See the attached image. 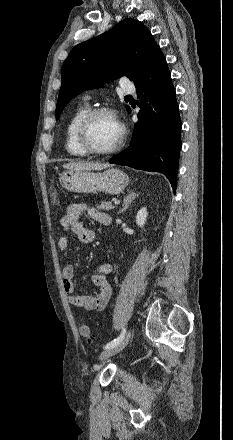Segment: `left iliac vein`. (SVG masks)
Returning <instances> with one entry per match:
<instances>
[{
    "label": "left iliac vein",
    "mask_w": 233,
    "mask_h": 440,
    "mask_svg": "<svg viewBox=\"0 0 233 440\" xmlns=\"http://www.w3.org/2000/svg\"><path fill=\"white\" fill-rule=\"evenodd\" d=\"M130 337H131V330H129L127 332V334L122 339V341H120L117 345L103 351L99 356V360H105V359L119 353L120 351H122L126 347V345L128 344Z\"/></svg>",
    "instance_id": "4c4485c4"
}]
</instances>
